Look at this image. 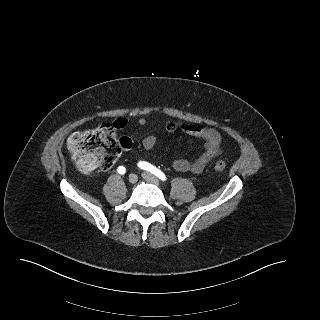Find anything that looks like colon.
Masks as SVG:
<instances>
[{
    "mask_svg": "<svg viewBox=\"0 0 320 320\" xmlns=\"http://www.w3.org/2000/svg\"><path fill=\"white\" fill-rule=\"evenodd\" d=\"M117 126V125H116ZM132 141L128 137L117 138L115 126L102 124L93 129L75 132L68 138L67 146L78 168L86 173L96 169H110L122 149H129ZM226 163L218 160L217 171H223Z\"/></svg>",
    "mask_w": 320,
    "mask_h": 320,
    "instance_id": "colon-1",
    "label": "colon"
}]
</instances>
